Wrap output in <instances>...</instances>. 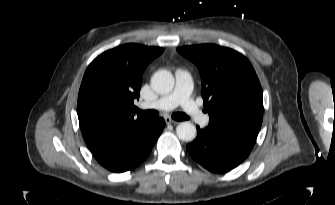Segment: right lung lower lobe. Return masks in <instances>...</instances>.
<instances>
[{
    "label": "right lung lower lobe",
    "mask_w": 335,
    "mask_h": 205,
    "mask_svg": "<svg viewBox=\"0 0 335 205\" xmlns=\"http://www.w3.org/2000/svg\"><path fill=\"white\" fill-rule=\"evenodd\" d=\"M164 126V119L156 118L154 127L131 145L119 150L94 153L93 155L102 166L112 172L132 170L149 155Z\"/></svg>",
    "instance_id": "1"
}]
</instances>
